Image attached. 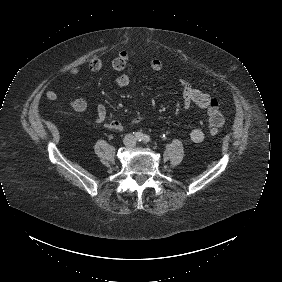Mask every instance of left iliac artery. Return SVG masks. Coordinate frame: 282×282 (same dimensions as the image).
Returning <instances> with one entry per match:
<instances>
[{"label":"left iliac artery","mask_w":282,"mask_h":282,"mask_svg":"<svg viewBox=\"0 0 282 282\" xmlns=\"http://www.w3.org/2000/svg\"><path fill=\"white\" fill-rule=\"evenodd\" d=\"M142 141L144 143H148L150 141V137L148 135H144Z\"/></svg>","instance_id":"left-iliac-artery-1"}]
</instances>
